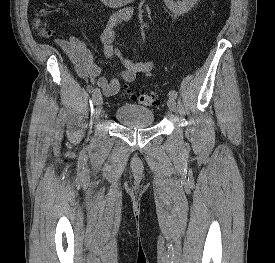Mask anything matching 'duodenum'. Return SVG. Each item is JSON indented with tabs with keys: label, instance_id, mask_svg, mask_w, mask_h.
Listing matches in <instances>:
<instances>
[{
	"label": "duodenum",
	"instance_id": "duodenum-1",
	"mask_svg": "<svg viewBox=\"0 0 275 263\" xmlns=\"http://www.w3.org/2000/svg\"><path fill=\"white\" fill-rule=\"evenodd\" d=\"M134 0H101V2L108 7H119L124 6L133 2Z\"/></svg>",
	"mask_w": 275,
	"mask_h": 263
}]
</instances>
